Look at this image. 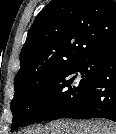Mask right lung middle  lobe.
I'll return each instance as SVG.
<instances>
[{
    "instance_id": "right-lung-middle-lobe-1",
    "label": "right lung middle lobe",
    "mask_w": 116,
    "mask_h": 134,
    "mask_svg": "<svg viewBox=\"0 0 116 134\" xmlns=\"http://www.w3.org/2000/svg\"><path fill=\"white\" fill-rule=\"evenodd\" d=\"M96 73L94 62H79L26 86L11 101V130L28 122L53 119L63 114L81 98Z\"/></svg>"
}]
</instances>
